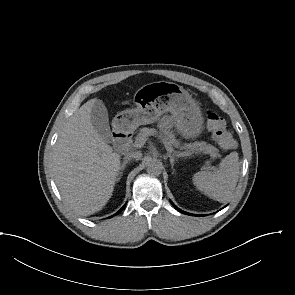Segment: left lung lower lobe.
<instances>
[{
    "label": "left lung lower lobe",
    "instance_id": "left-lung-lower-lobe-1",
    "mask_svg": "<svg viewBox=\"0 0 295 295\" xmlns=\"http://www.w3.org/2000/svg\"><path fill=\"white\" fill-rule=\"evenodd\" d=\"M171 204H172V205L174 206V208H175L176 210H178L179 212H181V213H183V214L192 215V214H190V213H187V212H184V211L180 210V209L177 208L172 202H171Z\"/></svg>",
    "mask_w": 295,
    "mask_h": 295
}]
</instances>
